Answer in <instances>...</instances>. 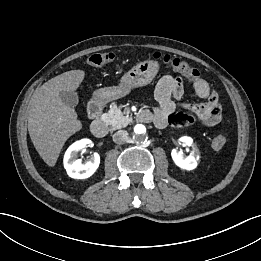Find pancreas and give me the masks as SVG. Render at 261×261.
Segmentation results:
<instances>
[{
  "label": "pancreas",
  "mask_w": 261,
  "mask_h": 261,
  "mask_svg": "<svg viewBox=\"0 0 261 261\" xmlns=\"http://www.w3.org/2000/svg\"><path fill=\"white\" fill-rule=\"evenodd\" d=\"M131 118L124 116L123 112L117 105L113 104L110 110L104 115V122L110 126V130H117L126 127Z\"/></svg>",
  "instance_id": "obj_1"
}]
</instances>
